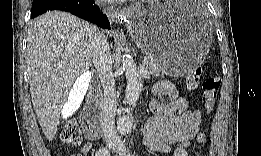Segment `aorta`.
Returning a JSON list of instances; mask_svg holds the SVG:
<instances>
[{
  "label": "aorta",
  "mask_w": 261,
  "mask_h": 156,
  "mask_svg": "<svg viewBox=\"0 0 261 156\" xmlns=\"http://www.w3.org/2000/svg\"><path fill=\"white\" fill-rule=\"evenodd\" d=\"M122 69L125 71L127 80L126 100L134 104L139 99L143 89V80L140 76L139 70L130 55L122 57ZM77 95V94H76ZM118 129L120 133H129L132 129V122L127 114H121L118 119Z\"/></svg>",
  "instance_id": "1"
}]
</instances>
